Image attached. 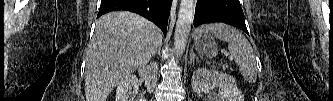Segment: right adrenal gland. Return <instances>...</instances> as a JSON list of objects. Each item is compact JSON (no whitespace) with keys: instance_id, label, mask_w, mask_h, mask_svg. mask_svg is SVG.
I'll return each mask as SVG.
<instances>
[{"instance_id":"obj_1","label":"right adrenal gland","mask_w":333,"mask_h":101,"mask_svg":"<svg viewBox=\"0 0 333 101\" xmlns=\"http://www.w3.org/2000/svg\"><path fill=\"white\" fill-rule=\"evenodd\" d=\"M157 53L160 55V47L158 48ZM155 54L156 53H154V56H155Z\"/></svg>"}]
</instances>
